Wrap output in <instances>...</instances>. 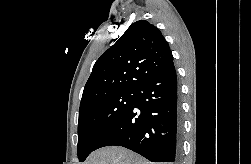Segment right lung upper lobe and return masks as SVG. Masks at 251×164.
<instances>
[{
  "label": "right lung upper lobe",
  "mask_w": 251,
  "mask_h": 164,
  "mask_svg": "<svg viewBox=\"0 0 251 164\" xmlns=\"http://www.w3.org/2000/svg\"><path fill=\"white\" fill-rule=\"evenodd\" d=\"M172 64L171 50L160 30L146 20H139L96 61L80 107L108 93L138 89L147 78Z\"/></svg>",
  "instance_id": "1"
}]
</instances>
